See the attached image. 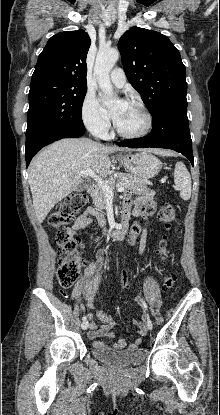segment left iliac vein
<instances>
[{"label":"left iliac vein","mask_w":220,"mask_h":415,"mask_svg":"<svg viewBox=\"0 0 220 415\" xmlns=\"http://www.w3.org/2000/svg\"><path fill=\"white\" fill-rule=\"evenodd\" d=\"M147 327H148L149 330H151L153 328V323L149 318L147 319Z\"/></svg>","instance_id":"left-iliac-vein-1"}]
</instances>
